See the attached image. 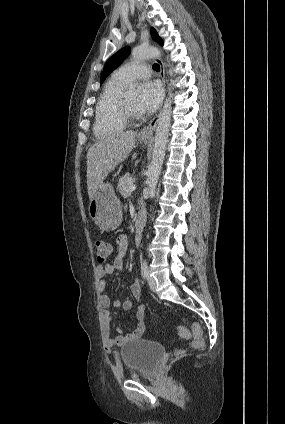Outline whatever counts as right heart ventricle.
Masks as SVG:
<instances>
[{
  "label": "right heart ventricle",
  "instance_id": "1",
  "mask_svg": "<svg viewBox=\"0 0 285 424\" xmlns=\"http://www.w3.org/2000/svg\"><path fill=\"white\" fill-rule=\"evenodd\" d=\"M125 83L115 74L106 82L96 105L93 127L96 137L111 136L127 127V121L122 118L119 109Z\"/></svg>",
  "mask_w": 285,
  "mask_h": 424
}]
</instances>
